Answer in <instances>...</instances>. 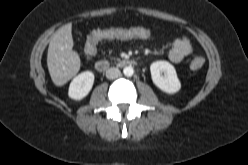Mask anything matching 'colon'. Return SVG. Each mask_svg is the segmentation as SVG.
Returning a JSON list of instances; mask_svg holds the SVG:
<instances>
[{
	"label": "colon",
	"mask_w": 248,
	"mask_h": 165,
	"mask_svg": "<svg viewBox=\"0 0 248 165\" xmlns=\"http://www.w3.org/2000/svg\"><path fill=\"white\" fill-rule=\"evenodd\" d=\"M132 34L143 35L144 32H141V31L129 32L125 29H120V28H108V29L94 30L90 34L91 40L85 45V49H84L85 56L89 59L93 58L96 54V48H97L98 43L104 39L125 38ZM203 65H204L203 58L195 57L190 63V68L196 71V70L201 69Z\"/></svg>",
	"instance_id": "1"
}]
</instances>
